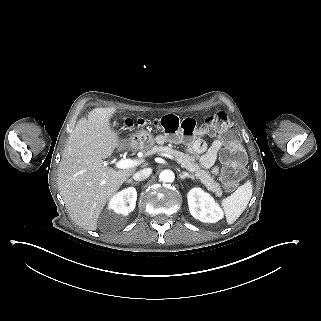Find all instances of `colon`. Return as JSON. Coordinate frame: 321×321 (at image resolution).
I'll list each match as a JSON object with an SVG mask.
<instances>
[{
	"instance_id": "obj_1",
	"label": "colon",
	"mask_w": 321,
	"mask_h": 321,
	"mask_svg": "<svg viewBox=\"0 0 321 321\" xmlns=\"http://www.w3.org/2000/svg\"><path fill=\"white\" fill-rule=\"evenodd\" d=\"M126 125L144 126L152 123L169 134L180 133L186 137L198 134H211L218 132L226 143V147L220 154L223 163L221 179L228 190H232L245 175L246 155L241 146L238 134L232 122L225 112H217L207 116L202 124L193 118H179L176 115H164L152 122L139 118L128 119Z\"/></svg>"
}]
</instances>
